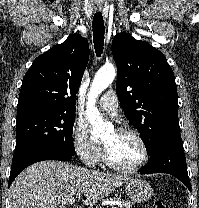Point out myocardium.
<instances>
[{
	"mask_svg": "<svg viewBox=\"0 0 199 208\" xmlns=\"http://www.w3.org/2000/svg\"><path fill=\"white\" fill-rule=\"evenodd\" d=\"M115 131L119 134H126V135L133 136L141 145L142 158L140 159L139 162H137L136 164L132 166H125L114 161L112 157L110 156L109 152L107 151V149L105 148V146L103 145L102 156H103L104 163L110 168H113L115 170L122 171V172H129V173L135 172L139 170L140 168H142L149 160V149H148V145L145 139L137 130L132 129V128L121 127V128H117Z\"/></svg>",
	"mask_w": 199,
	"mask_h": 208,
	"instance_id": "f54148a6",
	"label": "myocardium"
}]
</instances>
